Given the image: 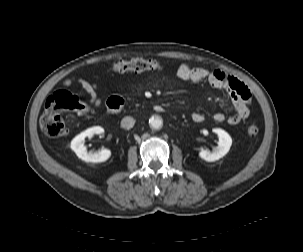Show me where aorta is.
Listing matches in <instances>:
<instances>
[{
    "label": "aorta",
    "instance_id": "1",
    "mask_svg": "<svg viewBox=\"0 0 303 252\" xmlns=\"http://www.w3.org/2000/svg\"><path fill=\"white\" fill-rule=\"evenodd\" d=\"M150 126L154 129H160L163 125V121L159 116H153L149 120Z\"/></svg>",
    "mask_w": 303,
    "mask_h": 252
}]
</instances>
